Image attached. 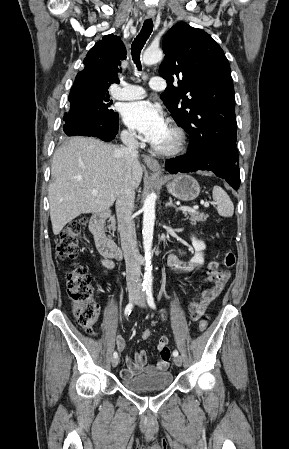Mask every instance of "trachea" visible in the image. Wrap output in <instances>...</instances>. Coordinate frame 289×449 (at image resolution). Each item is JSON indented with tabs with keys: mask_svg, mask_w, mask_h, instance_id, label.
Wrapping results in <instances>:
<instances>
[{
	"mask_svg": "<svg viewBox=\"0 0 289 449\" xmlns=\"http://www.w3.org/2000/svg\"><path fill=\"white\" fill-rule=\"evenodd\" d=\"M153 31V21L152 19H146L144 21V24L142 26V29L140 33L137 35V37L134 39L131 47V55L134 63L137 66V69L141 71L142 66L140 62V53L142 48L144 47L147 39L151 35Z\"/></svg>",
	"mask_w": 289,
	"mask_h": 449,
	"instance_id": "obj_1",
	"label": "trachea"
}]
</instances>
